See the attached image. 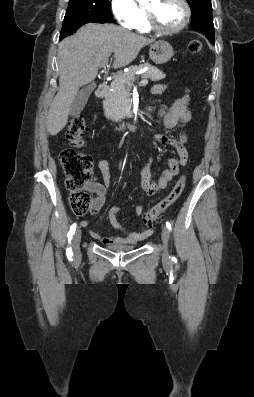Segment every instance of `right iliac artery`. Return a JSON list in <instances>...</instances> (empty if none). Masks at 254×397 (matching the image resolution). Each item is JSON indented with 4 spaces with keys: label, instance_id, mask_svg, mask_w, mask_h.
Segmentation results:
<instances>
[{
    "label": "right iliac artery",
    "instance_id": "1",
    "mask_svg": "<svg viewBox=\"0 0 254 397\" xmlns=\"http://www.w3.org/2000/svg\"><path fill=\"white\" fill-rule=\"evenodd\" d=\"M76 226H77V224L74 223V224L70 227V230H69V232H68V242H69V246L67 247V250H66V254H67L68 259H71L72 256H73V252H72V249H71L70 244H71L72 237H73V235H74V233H75Z\"/></svg>",
    "mask_w": 254,
    "mask_h": 397
}]
</instances>
